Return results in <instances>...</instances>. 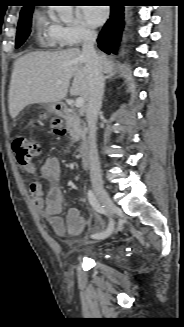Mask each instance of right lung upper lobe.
<instances>
[{
	"label": "right lung upper lobe",
	"mask_w": 184,
	"mask_h": 327,
	"mask_svg": "<svg viewBox=\"0 0 184 327\" xmlns=\"http://www.w3.org/2000/svg\"><path fill=\"white\" fill-rule=\"evenodd\" d=\"M27 3H29V2L27 1ZM32 8H33L32 5H24L21 12L27 11V10L32 9Z\"/></svg>",
	"instance_id": "obj_1"
}]
</instances>
